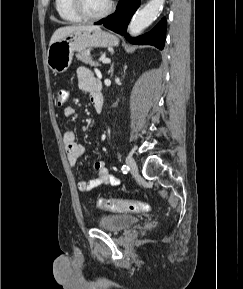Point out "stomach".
Returning <instances> with one entry per match:
<instances>
[{
	"label": "stomach",
	"mask_w": 243,
	"mask_h": 289,
	"mask_svg": "<svg viewBox=\"0 0 243 289\" xmlns=\"http://www.w3.org/2000/svg\"><path fill=\"white\" fill-rule=\"evenodd\" d=\"M118 44L119 39L115 35L101 29L74 31L49 46L47 63L53 73H63L69 68L75 51Z\"/></svg>",
	"instance_id": "1"
}]
</instances>
